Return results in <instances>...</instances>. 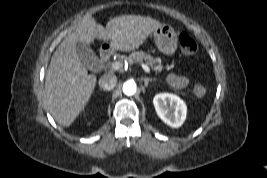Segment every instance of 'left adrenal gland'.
Returning a JSON list of instances; mask_svg holds the SVG:
<instances>
[{
  "label": "left adrenal gland",
  "mask_w": 267,
  "mask_h": 178,
  "mask_svg": "<svg viewBox=\"0 0 267 178\" xmlns=\"http://www.w3.org/2000/svg\"><path fill=\"white\" fill-rule=\"evenodd\" d=\"M143 80H144V82H145V86L147 87V86H148V84H149V82H150V81H153V80H155V79H151V78H144Z\"/></svg>",
  "instance_id": "a2214340"
}]
</instances>
